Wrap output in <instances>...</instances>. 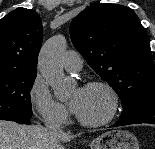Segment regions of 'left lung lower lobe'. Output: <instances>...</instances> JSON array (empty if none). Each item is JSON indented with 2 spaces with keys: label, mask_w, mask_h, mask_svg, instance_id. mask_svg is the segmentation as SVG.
Listing matches in <instances>:
<instances>
[{
  "label": "left lung lower lobe",
  "mask_w": 155,
  "mask_h": 149,
  "mask_svg": "<svg viewBox=\"0 0 155 149\" xmlns=\"http://www.w3.org/2000/svg\"><path fill=\"white\" fill-rule=\"evenodd\" d=\"M140 123L155 124V94L149 96L140 106L123 111L119 120L111 127Z\"/></svg>",
  "instance_id": "0a47b994"
}]
</instances>
